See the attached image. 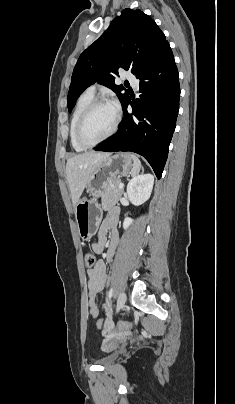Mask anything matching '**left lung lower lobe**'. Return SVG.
Returning a JSON list of instances; mask_svg holds the SVG:
<instances>
[{
    "label": "left lung lower lobe",
    "instance_id": "obj_1",
    "mask_svg": "<svg viewBox=\"0 0 235 404\" xmlns=\"http://www.w3.org/2000/svg\"><path fill=\"white\" fill-rule=\"evenodd\" d=\"M135 76L140 80L138 99L122 104L124 117L116 134L97 151H131L142 155L161 177L176 127L180 86L173 53L166 44ZM132 113L127 112L128 105Z\"/></svg>",
    "mask_w": 235,
    "mask_h": 404
}]
</instances>
